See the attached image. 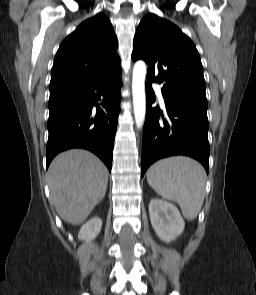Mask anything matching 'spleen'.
Here are the masks:
<instances>
[{
    "mask_svg": "<svg viewBox=\"0 0 256 295\" xmlns=\"http://www.w3.org/2000/svg\"><path fill=\"white\" fill-rule=\"evenodd\" d=\"M147 182L161 197L177 202L186 219L197 217L206 184L205 170L197 161L184 156L162 159L149 168Z\"/></svg>",
    "mask_w": 256,
    "mask_h": 295,
    "instance_id": "3e777b00",
    "label": "spleen"
}]
</instances>
